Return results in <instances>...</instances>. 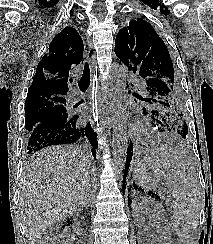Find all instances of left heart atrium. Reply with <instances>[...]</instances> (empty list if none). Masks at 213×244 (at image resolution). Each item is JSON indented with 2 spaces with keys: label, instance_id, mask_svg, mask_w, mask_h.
I'll use <instances>...</instances> for the list:
<instances>
[{
  "label": "left heart atrium",
  "instance_id": "1",
  "mask_svg": "<svg viewBox=\"0 0 213 244\" xmlns=\"http://www.w3.org/2000/svg\"><path fill=\"white\" fill-rule=\"evenodd\" d=\"M95 114V110H94V107H89V108H87V110H86V115L88 116V117H91V116H93Z\"/></svg>",
  "mask_w": 213,
  "mask_h": 244
}]
</instances>
